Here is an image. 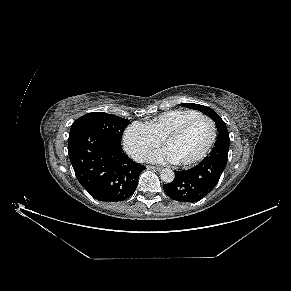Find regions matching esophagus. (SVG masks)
<instances>
[{"instance_id": "obj_1", "label": "esophagus", "mask_w": 291, "mask_h": 291, "mask_svg": "<svg viewBox=\"0 0 291 291\" xmlns=\"http://www.w3.org/2000/svg\"><path fill=\"white\" fill-rule=\"evenodd\" d=\"M147 168H148V169L155 170V171H160V170H161L160 167H156V166H148Z\"/></svg>"}]
</instances>
